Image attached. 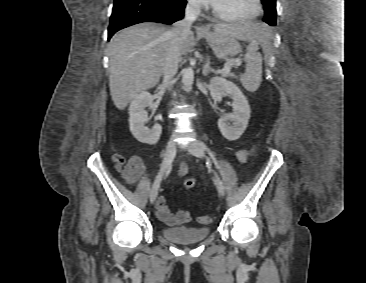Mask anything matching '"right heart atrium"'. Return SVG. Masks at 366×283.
Masks as SVG:
<instances>
[{
  "instance_id": "right-heart-atrium-1",
  "label": "right heart atrium",
  "mask_w": 366,
  "mask_h": 283,
  "mask_svg": "<svg viewBox=\"0 0 366 283\" xmlns=\"http://www.w3.org/2000/svg\"><path fill=\"white\" fill-rule=\"evenodd\" d=\"M189 2V5L192 7V8H196L198 7V3L196 0H188Z\"/></svg>"
}]
</instances>
